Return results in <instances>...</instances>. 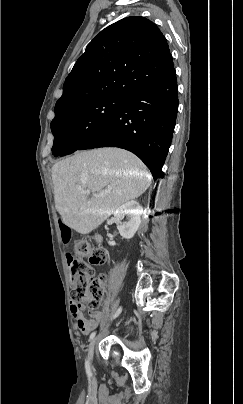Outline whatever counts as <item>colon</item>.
<instances>
[{
	"label": "colon",
	"instance_id": "obj_1",
	"mask_svg": "<svg viewBox=\"0 0 243 404\" xmlns=\"http://www.w3.org/2000/svg\"><path fill=\"white\" fill-rule=\"evenodd\" d=\"M106 261V253L93 247L88 241L80 240L75 244V256L70 268L76 287L71 292L74 302L87 300L90 312L100 306L103 294V277H95L94 267L102 265Z\"/></svg>",
	"mask_w": 243,
	"mask_h": 404
}]
</instances>
